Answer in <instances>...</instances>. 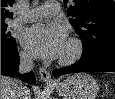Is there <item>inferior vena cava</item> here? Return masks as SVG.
<instances>
[{
  "label": "inferior vena cava",
  "mask_w": 115,
  "mask_h": 99,
  "mask_svg": "<svg viewBox=\"0 0 115 99\" xmlns=\"http://www.w3.org/2000/svg\"><path fill=\"white\" fill-rule=\"evenodd\" d=\"M33 59L32 57H30L29 55L25 54V53H21L20 54V63H19V72L21 73H26L29 72L33 69ZM27 93V89L22 87V86H18L16 89V94L14 95L15 97H13L14 99H23L24 95Z\"/></svg>",
  "instance_id": "1"
}]
</instances>
